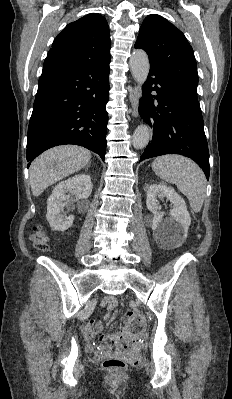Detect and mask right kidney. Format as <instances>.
Returning a JSON list of instances; mask_svg holds the SVG:
<instances>
[{
    "label": "right kidney",
    "instance_id": "right-kidney-1",
    "mask_svg": "<svg viewBox=\"0 0 232 399\" xmlns=\"http://www.w3.org/2000/svg\"><path fill=\"white\" fill-rule=\"evenodd\" d=\"M92 188L91 178L85 174L74 176V178H69L55 186L47 200L46 217L50 227L56 231H66L72 225L74 215H66L63 209L64 205H68L73 196H77L78 205H82L83 201L89 198Z\"/></svg>",
    "mask_w": 232,
    "mask_h": 399
}]
</instances>
